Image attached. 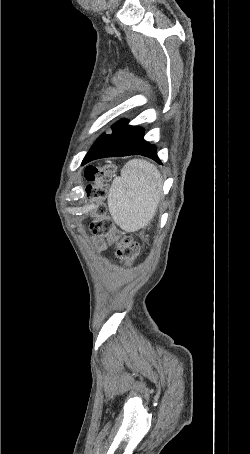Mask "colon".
<instances>
[{
    "label": "colon",
    "instance_id": "colon-1",
    "mask_svg": "<svg viewBox=\"0 0 250 454\" xmlns=\"http://www.w3.org/2000/svg\"><path fill=\"white\" fill-rule=\"evenodd\" d=\"M115 172V166L112 164L104 167H89L85 172V177L93 182L89 187L88 196L97 202L93 211V222L91 230L94 234L103 236L109 244H114L116 254L125 266L134 264L138 254L139 245L131 237L122 233L115 228L111 218L108 215L107 207L103 203L108 193V183Z\"/></svg>",
    "mask_w": 250,
    "mask_h": 454
}]
</instances>
